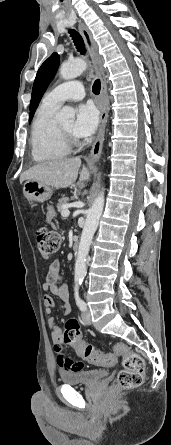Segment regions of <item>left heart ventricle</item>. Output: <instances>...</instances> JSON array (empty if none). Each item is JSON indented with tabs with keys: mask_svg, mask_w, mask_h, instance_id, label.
<instances>
[{
	"mask_svg": "<svg viewBox=\"0 0 171 445\" xmlns=\"http://www.w3.org/2000/svg\"><path fill=\"white\" fill-rule=\"evenodd\" d=\"M60 125H61V127H62L65 131H67L68 133L74 135V133H73L74 123H73V121L65 122V123H61ZM74 136H75V135H74Z\"/></svg>",
	"mask_w": 171,
	"mask_h": 445,
	"instance_id": "obj_1",
	"label": "left heart ventricle"
}]
</instances>
